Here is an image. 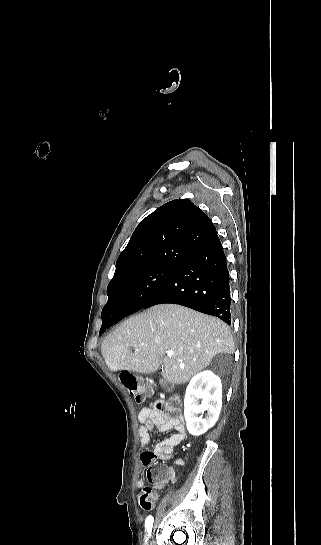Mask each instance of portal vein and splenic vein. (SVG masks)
I'll use <instances>...</instances> for the list:
<instances>
[{
  "instance_id": "1",
  "label": "portal vein and splenic vein",
  "mask_w": 321,
  "mask_h": 545,
  "mask_svg": "<svg viewBox=\"0 0 321 545\" xmlns=\"http://www.w3.org/2000/svg\"><path fill=\"white\" fill-rule=\"evenodd\" d=\"M167 353V357H172V355H174L173 351H166ZM193 361H195V359H193Z\"/></svg>"
}]
</instances>
